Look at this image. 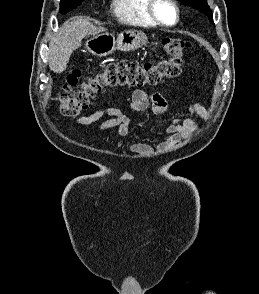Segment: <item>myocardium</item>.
<instances>
[{
	"mask_svg": "<svg viewBox=\"0 0 259 294\" xmlns=\"http://www.w3.org/2000/svg\"><path fill=\"white\" fill-rule=\"evenodd\" d=\"M160 1H165V2L169 3L172 6V8L174 9L175 20L173 23H166L158 16V14L156 12V5ZM147 13H148L149 17L151 18V20L155 24L162 26V27H173L180 20V10H179V7H178L175 0H148Z\"/></svg>",
	"mask_w": 259,
	"mask_h": 294,
	"instance_id": "myocardium-1",
	"label": "myocardium"
}]
</instances>
